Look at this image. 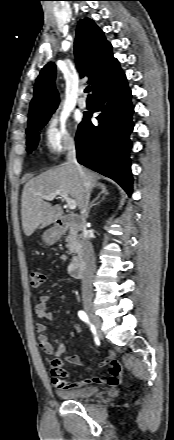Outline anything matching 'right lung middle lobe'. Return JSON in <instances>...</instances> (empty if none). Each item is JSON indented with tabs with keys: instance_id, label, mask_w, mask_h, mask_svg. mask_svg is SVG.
I'll return each mask as SVG.
<instances>
[{
	"instance_id": "1",
	"label": "right lung middle lobe",
	"mask_w": 174,
	"mask_h": 440,
	"mask_svg": "<svg viewBox=\"0 0 174 440\" xmlns=\"http://www.w3.org/2000/svg\"><path fill=\"white\" fill-rule=\"evenodd\" d=\"M47 120L38 122L30 127L27 128V151L31 152L34 150L38 144L39 141V133L38 131L41 130L44 125L47 123Z\"/></svg>"
}]
</instances>
